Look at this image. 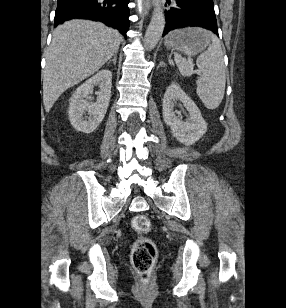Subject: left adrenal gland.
I'll return each mask as SVG.
<instances>
[{
    "instance_id": "1",
    "label": "left adrenal gland",
    "mask_w": 286,
    "mask_h": 308,
    "mask_svg": "<svg viewBox=\"0 0 286 308\" xmlns=\"http://www.w3.org/2000/svg\"><path fill=\"white\" fill-rule=\"evenodd\" d=\"M164 66H165V63H164L163 61H161V62L159 63L158 68H159V67H164Z\"/></svg>"
}]
</instances>
